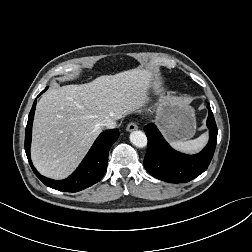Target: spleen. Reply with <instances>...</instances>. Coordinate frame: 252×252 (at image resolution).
Masks as SVG:
<instances>
[{
	"label": "spleen",
	"instance_id": "obj_1",
	"mask_svg": "<svg viewBox=\"0 0 252 252\" xmlns=\"http://www.w3.org/2000/svg\"><path fill=\"white\" fill-rule=\"evenodd\" d=\"M208 136L203 133L198 138L188 141H173L171 142L172 147L179 151L186 153H195L200 151L207 143Z\"/></svg>",
	"mask_w": 252,
	"mask_h": 252
}]
</instances>
